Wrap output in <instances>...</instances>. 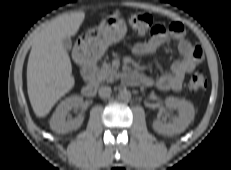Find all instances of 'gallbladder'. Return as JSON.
<instances>
[{
  "instance_id": "gallbladder-1",
  "label": "gallbladder",
  "mask_w": 231,
  "mask_h": 170,
  "mask_svg": "<svg viewBox=\"0 0 231 170\" xmlns=\"http://www.w3.org/2000/svg\"><path fill=\"white\" fill-rule=\"evenodd\" d=\"M63 47L66 51H70L72 48V42L69 37H65L62 41Z\"/></svg>"
}]
</instances>
